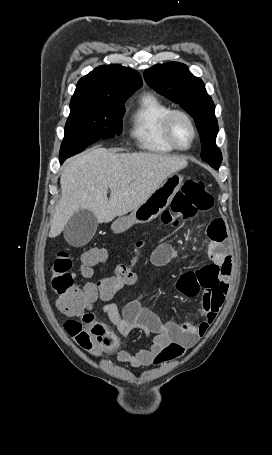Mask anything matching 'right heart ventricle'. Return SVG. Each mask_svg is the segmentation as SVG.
<instances>
[{"mask_svg": "<svg viewBox=\"0 0 272 455\" xmlns=\"http://www.w3.org/2000/svg\"><path fill=\"white\" fill-rule=\"evenodd\" d=\"M171 108L153 94L143 95L131 114L130 135L137 147L155 154H169L174 149L163 134V119Z\"/></svg>", "mask_w": 272, "mask_h": 455, "instance_id": "right-heart-ventricle-1", "label": "right heart ventricle"}]
</instances>
